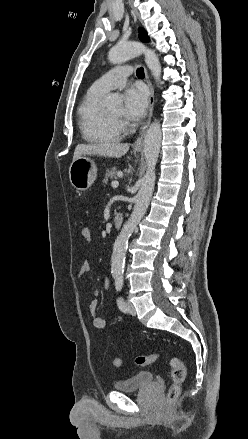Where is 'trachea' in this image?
I'll return each instance as SVG.
<instances>
[{"label":"trachea","instance_id":"1","mask_svg":"<svg viewBox=\"0 0 248 439\" xmlns=\"http://www.w3.org/2000/svg\"><path fill=\"white\" fill-rule=\"evenodd\" d=\"M137 77H144V69L143 67H140L136 71Z\"/></svg>","mask_w":248,"mask_h":439}]
</instances>
